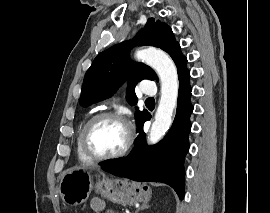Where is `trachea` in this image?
<instances>
[{
  "mask_svg": "<svg viewBox=\"0 0 270 213\" xmlns=\"http://www.w3.org/2000/svg\"><path fill=\"white\" fill-rule=\"evenodd\" d=\"M151 101H154V98H147L146 99V102H151Z\"/></svg>",
  "mask_w": 270,
  "mask_h": 213,
  "instance_id": "trachea-1",
  "label": "trachea"
}]
</instances>
